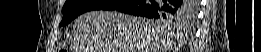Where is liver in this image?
<instances>
[{
  "instance_id": "liver-1",
  "label": "liver",
  "mask_w": 261,
  "mask_h": 52,
  "mask_svg": "<svg viewBox=\"0 0 261 52\" xmlns=\"http://www.w3.org/2000/svg\"><path fill=\"white\" fill-rule=\"evenodd\" d=\"M172 24L116 11H91L73 25V52H176Z\"/></svg>"
}]
</instances>
